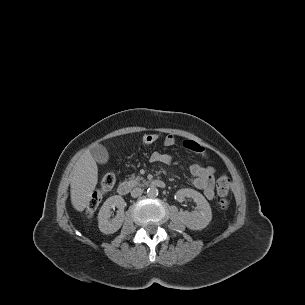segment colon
<instances>
[{
	"mask_svg": "<svg viewBox=\"0 0 305 305\" xmlns=\"http://www.w3.org/2000/svg\"><path fill=\"white\" fill-rule=\"evenodd\" d=\"M157 139H158V135L155 133L145 134L141 139V143L143 145H151ZM186 145L188 148L194 150L196 149V146L192 142H187ZM115 182H116V175L114 172H108L103 176L101 180L100 188L92 194L86 206L87 215L91 216L95 213V211L97 210L103 199V196L105 195L106 192L112 189V187L115 185ZM230 185H231L230 179L226 175H222L217 180V184H216L217 205L221 209H226L229 206L230 200L228 197V193H229Z\"/></svg>",
	"mask_w": 305,
	"mask_h": 305,
	"instance_id": "5ec220e1",
	"label": "colon"
}]
</instances>
